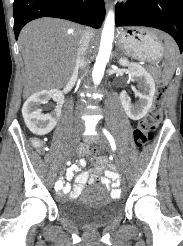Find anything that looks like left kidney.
I'll use <instances>...</instances> for the list:
<instances>
[{"mask_svg": "<svg viewBox=\"0 0 183 246\" xmlns=\"http://www.w3.org/2000/svg\"><path fill=\"white\" fill-rule=\"evenodd\" d=\"M119 64L128 67L131 77L138 82V91L136 92L139 98L138 103L132 104L126 91L120 93V100L127 116L132 120H139L148 113L152 106L155 94L154 78L143 66L130 63L125 57L119 59Z\"/></svg>", "mask_w": 183, "mask_h": 246, "instance_id": "obj_1", "label": "left kidney"}]
</instances>
